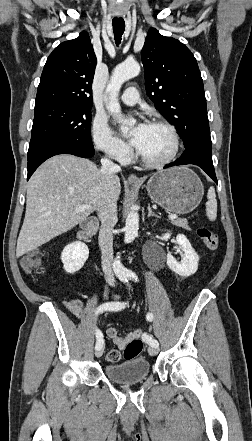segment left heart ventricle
<instances>
[{
    "mask_svg": "<svg viewBox=\"0 0 252 441\" xmlns=\"http://www.w3.org/2000/svg\"><path fill=\"white\" fill-rule=\"evenodd\" d=\"M172 147V138L165 128L147 125L138 151L145 158L158 161L166 158L172 151Z\"/></svg>",
    "mask_w": 252,
    "mask_h": 441,
    "instance_id": "left-heart-ventricle-1",
    "label": "left heart ventricle"
}]
</instances>
